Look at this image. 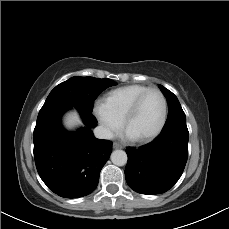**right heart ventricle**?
<instances>
[{"mask_svg": "<svg viewBox=\"0 0 229 229\" xmlns=\"http://www.w3.org/2000/svg\"><path fill=\"white\" fill-rule=\"evenodd\" d=\"M148 89H150L149 86L141 84L119 87L108 92L103 99V103L109 113L121 122L133 100Z\"/></svg>", "mask_w": 229, "mask_h": 229, "instance_id": "e07e8e85", "label": "right heart ventricle"}]
</instances>
